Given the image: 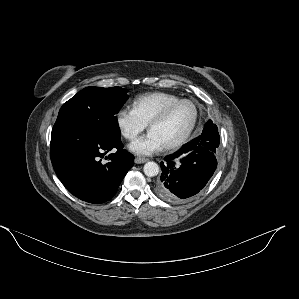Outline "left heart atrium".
I'll return each mask as SVG.
<instances>
[{
    "mask_svg": "<svg viewBox=\"0 0 299 299\" xmlns=\"http://www.w3.org/2000/svg\"><path fill=\"white\" fill-rule=\"evenodd\" d=\"M163 147L159 138L151 131L147 135L135 140L129 146L132 152L139 155H150L160 151Z\"/></svg>",
    "mask_w": 299,
    "mask_h": 299,
    "instance_id": "1",
    "label": "left heart atrium"
}]
</instances>
